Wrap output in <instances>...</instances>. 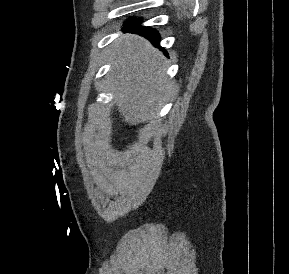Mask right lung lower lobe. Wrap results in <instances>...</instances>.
Masks as SVG:
<instances>
[{
    "label": "right lung lower lobe",
    "instance_id": "98d812e1",
    "mask_svg": "<svg viewBox=\"0 0 289 274\" xmlns=\"http://www.w3.org/2000/svg\"><path fill=\"white\" fill-rule=\"evenodd\" d=\"M125 29L127 31L146 37L155 46L159 47L160 35L158 34V32L150 27H144L140 25L139 20H133L131 23L126 24Z\"/></svg>",
    "mask_w": 289,
    "mask_h": 274
}]
</instances>
